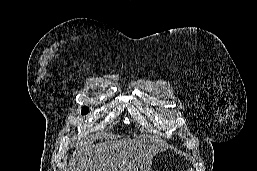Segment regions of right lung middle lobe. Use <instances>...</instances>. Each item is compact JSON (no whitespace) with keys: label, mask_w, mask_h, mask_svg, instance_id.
<instances>
[{"label":"right lung middle lobe","mask_w":257,"mask_h":171,"mask_svg":"<svg viewBox=\"0 0 257 171\" xmlns=\"http://www.w3.org/2000/svg\"><path fill=\"white\" fill-rule=\"evenodd\" d=\"M88 111H89V109H88L86 106H84V107L82 108V115L87 114Z\"/></svg>","instance_id":"1"}]
</instances>
